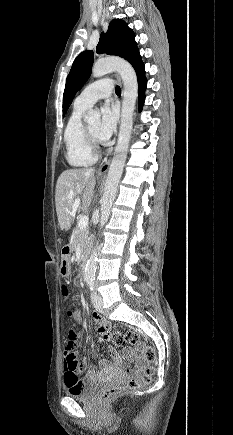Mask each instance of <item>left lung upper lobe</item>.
<instances>
[{
	"label": "left lung upper lobe",
	"instance_id": "obj_1",
	"mask_svg": "<svg viewBox=\"0 0 233 435\" xmlns=\"http://www.w3.org/2000/svg\"><path fill=\"white\" fill-rule=\"evenodd\" d=\"M96 52L120 56L130 62L134 69L144 65L135 42L133 30L120 19H114L109 23L106 34L102 33L100 36ZM93 61V51L81 52L74 60L66 79L63 94V116L67 112L75 94L88 80Z\"/></svg>",
	"mask_w": 233,
	"mask_h": 435
}]
</instances>
